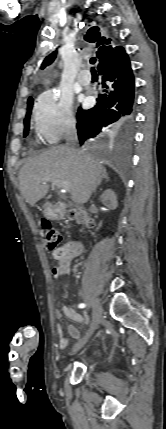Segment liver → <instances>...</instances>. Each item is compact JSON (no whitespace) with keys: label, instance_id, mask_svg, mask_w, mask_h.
<instances>
[{"label":"liver","instance_id":"liver-1","mask_svg":"<svg viewBox=\"0 0 166 429\" xmlns=\"http://www.w3.org/2000/svg\"><path fill=\"white\" fill-rule=\"evenodd\" d=\"M103 162L92 154L68 145L56 146L29 158L19 173V188L30 206L44 198L49 185L44 180L68 181L74 203L88 202L91 192L106 175ZM49 182V181H48ZM48 195L47 198H50Z\"/></svg>","mask_w":166,"mask_h":429}]
</instances>
